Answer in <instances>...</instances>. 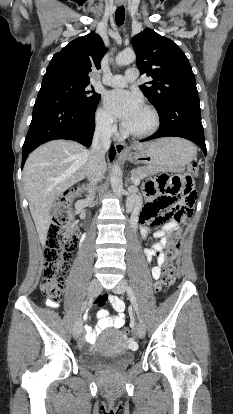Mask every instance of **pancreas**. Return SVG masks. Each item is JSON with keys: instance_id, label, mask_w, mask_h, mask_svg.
Here are the masks:
<instances>
[{"instance_id": "obj_1", "label": "pancreas", "mask_w": 233, "mask_h": 414, "mask_svg": "<svg viewBox=\"0 0 233 414\" xmlns=\"http://www.w3.org/2000/svg\"><path fill=\"white\" fill-rule=\"evenodd\" d=\"M157 172L149 167H141L131 171L132 177L134 179H139L140 181L150 175H154Z\"/></svg>"}]
</instances>
